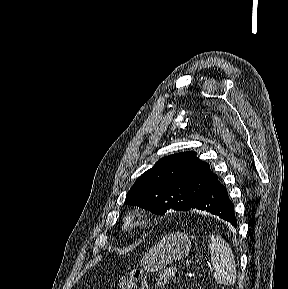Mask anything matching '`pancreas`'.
<instances>
[{
    "mask_svg": "<svg viewBox=\"0 0 288 289\" xmlns=\"http://www.w3.org/2000/svg\"><path fill=\"white\" fill-rule=\"evenodd\" d=\"M172 273H173L172 269H166V270L160 272V275L156 279L157 286H159V287L164 286L168 282V280L171 278Z\"/></svg>",
    "mask_w": 288,
    "mask_h": 289,
    "instance_id": "cf45deb5",
    "label": "pancreas"
}]
</instances>
